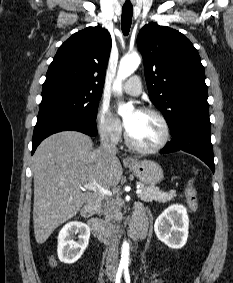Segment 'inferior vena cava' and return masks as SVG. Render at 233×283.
Listing matches in <instances>:
<instances>
[{
	"label": "inferior vena cava",
	"mask_w": 233,
	"mask_h": 283,
	"mask_svg": "<svg viewBox=\"0 0 233 283\" xmlns=\"http://www.w3.org/2000/svg\"><path fill=\"white\" fill-rule=\"evenodd\" d=\"M101 149L112 155H116V153L118 152V148L116 144L109 142L108 136L106 134H103L101 136ZM106 212L111 217H113V214L115 213L113 208L109 205H107ZM117 266H118V245H117V239L113 238L107 252L106 268L107 270H115Z\"/></svg>",
	"instance_id": "obj_1"
}]
</instances>
